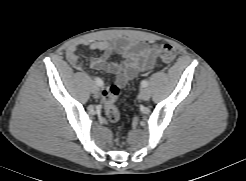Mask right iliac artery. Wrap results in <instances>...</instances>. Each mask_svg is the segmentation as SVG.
Segmentation results:
<instances>
[{
  "mask_svg": "<svg viewBox=\"0 0 246 181\" xmlns=\"http://www.w3.org/2000/svg\"><path fill=\"white\" fill-rule=\"evenodd\" d=\"M95 83H96V85H98L100 87L103 85V81L98 77L95 78Z\"/></svg>",
  "mask_w": 246,
  "mask_h": 181,
  "instance_id": "right-iliac-artery-1",
  "label": "right iliac artery"
}]
</instances>
